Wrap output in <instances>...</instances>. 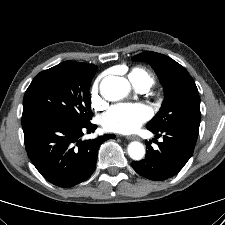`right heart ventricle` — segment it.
I'll return each instance as SVG.
<instances>
[{
	"instance_id": "obj_1",
	"label": "right heart ventricle",
	"mask_w": 225,
	"mask_h": 225,
	"mask_svg": "<svg viewBox=\"0 0 225 225\" xmlns=\"http://www.w3.org/2000/svg\"><path fill=\"white\" fill-rule=\"evenodd\" d=\"M129 80L137 88L149 89L154 84L152 74L142 67H134L129 75Z\"/></svg>"
}]
</instances>
